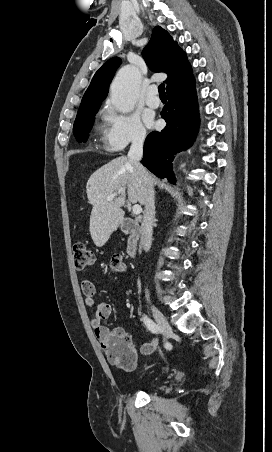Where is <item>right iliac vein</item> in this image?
Returning <instances> with one entry per match:
<instances>
[{
	"instance_id": "1",
	"label": "right iliac vein",
	"mask_w": 272,
	"mask_h": 452,
	"mask_svg": "<svg viewBox=\"0 0 272 452\" xmlns=\"http://www.w3.org/2000/svg\"><path fill=\"white\" fill-rule=\"evenodd\" d=\"M150 309H151L154 319L156 320L157 324L163 331L165 339H167L170 336V334L172 333V328H171L169 322L167 321L165 316L162 314V312L157 307L150 304Z\"/></svg>"
}]
</instances>
